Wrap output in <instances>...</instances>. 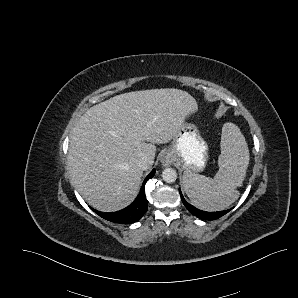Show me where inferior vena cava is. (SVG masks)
<instances>
[{
	"label": "inferior vena cava",
	"mask_w": 298,
	"mask_h": 298,
	"mask_svg": "<svg viewBox=\"0 0 298 298\" xmlns=\"http://www.w3.org/2000/svg\"><path fill=\"white\" fill-rule=\"evenodd\" d=\"M137 165L142 170H147V169H149L151 167V164L149 163L147 157H142L141 159H139Z\"/></svg>",
	"instance_id": "1"
}]
</instances>
